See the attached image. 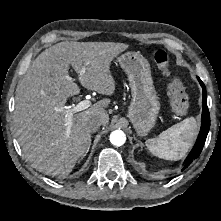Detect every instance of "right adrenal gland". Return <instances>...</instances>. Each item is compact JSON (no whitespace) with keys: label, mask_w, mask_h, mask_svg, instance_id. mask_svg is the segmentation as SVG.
I'll return each mask as SVG.
<instances>
[{"label":"right adrenal gland","mask_w":221,"mask_h":221,"mask_svg":"<svg viewBox=\"0 0 221 221\" xmlns=\"http://www.w3.org/2000/svg\"><path fill=\"white\" fill-rule=\"evenodd\" d=\"M90 144H91V142L89 143L88 150H89V148H90Z\"/></svg>","instance_id":"1"}]
</instances>
